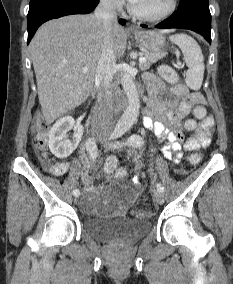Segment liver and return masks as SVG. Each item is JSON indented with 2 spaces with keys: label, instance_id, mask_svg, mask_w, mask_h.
I'll list each match as a JSON object with an SVG mask.
<instances>
[{
  "label": "liver",
  "instance_id": "obj_1",
  "mask_svg": "<svg viewBox=\"0 0 233 284\" xmlns=\"http://www.w3.org/2000/svg\"><path fill=\"white\" fill-rule=\"evenodd\" d=\"M126 40V31L118 24L111 26L107 39L102 21L91 14L54 19L38 29L31 41V57L47 124L89 97L105 42L117 58L124 54Z\"/></svg>",
  "mask_w": 233,
  "mask_h": 284
}]
</instances>
